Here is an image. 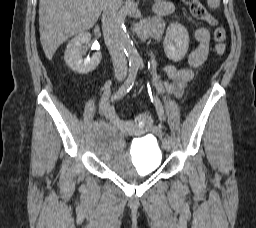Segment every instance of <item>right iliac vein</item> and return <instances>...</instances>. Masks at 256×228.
Wrapping results in <instances>:
<instances>
[{"label":"right iliac vein","instance_id":"1","mask_svg":"<svg viewBox=\"0 0 256 228\" xmlns=\"http://www.w3.org/2000/svg\"><path fill=\"white\" fill-rule=\"evenodd\" d=\"M119 80H122V77H119L118 78ZM98 130V127L97 126H94L93 127V130H90V133H94V131H97Z\"/></svg>","mask_w":256,"mask_h":228}]
</instances>
